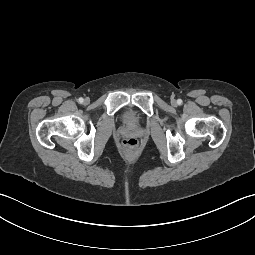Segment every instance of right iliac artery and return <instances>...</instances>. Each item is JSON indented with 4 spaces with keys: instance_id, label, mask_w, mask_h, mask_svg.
Here are the masks:
<instances>
[{
    "instance_id": "right-iliac-artery-1",
    "label": "right iliac artery",
    "mask_w": 255,
    "mask_h": 255,
    "mask_svg": "<svg viewBox=\"0 0 255 255\" xmlns=\"http://www.w3.org/2000/svg\"><path fill=\"white\" fill-rule=\"evenodd\" d=\"M83 101H84L83 98H79V99H78V102H79V103H83Z\"/></svg>"
}]
</instances>
